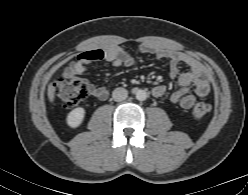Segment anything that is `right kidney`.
Wrapping results in <instances>:
<instances>
[{"label": "right kidney", "mask_w": 248, "mask_h": 195, "mask_svg": "<svg viewBox=\"0 0 248 195\" xmlns=\"http://www.w3.org/2000/svg\"><path fill=\"white\" fill-rule=\"evenodd\" d=\"M84 117L85 109L82 107H77L68 114L67 124L72 128H76L83 122Z\"/></svg>", "instance_id": "ca27d5eb"}]
</instances>
